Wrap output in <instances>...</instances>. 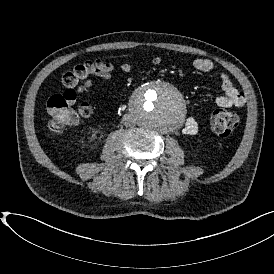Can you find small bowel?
Segmentation results:
<instances>
[{
  "label": "small bowel",
  "instance_id": "1",
  "mask_svg": "<svg viewBox=\"0 0 274 274\" xmlns=\"http://www.w3.org/2000/svg\"><path fill=\"white\" fill-rule=\"evenodd\" d=\"M162 61L163 59L161 56H154L149 60V63L152 66H157L160 65ZM193 67L206 74L212 73L215 69L213 61L207 58L195 59L193 61ZM134 69L135 66L128 62H122L118 66H114L110 63H103L96 70L92 71L91 75L109 81L113 78L115 71L131 73ZM219 80L224 95L217 97L214 104L221 108L243 107L246 103V95L233 84L229 75L220 73ZM183 132L189 136L195 135L198 132V122L195 117L190 116L186 119Z\"/></svg>",
  "mask_w": 274,
  "mask_h": 274
}]
</instances>
